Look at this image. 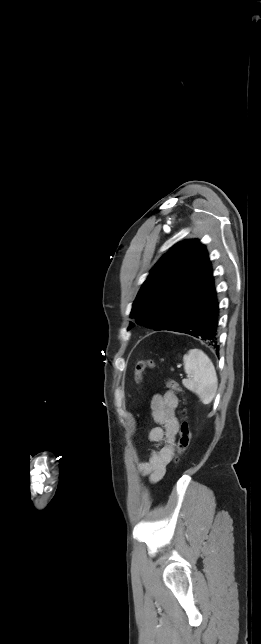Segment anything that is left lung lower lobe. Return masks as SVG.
I'll use <instances>...</instances> for the list:
<instances>
[{"label":"left lung lower lobe","instance_id":"0a47b994","mask_svg":"<svg viewBox=\"0 0 261 644\" xmlns=\"http://www.w3.org/2000/svg\"><path fill=\"white\" fill-rule=\"evenodd\" d=\"M219 311V301L214 286L180 322L167 330L194 336L212 345L218 351Z\"/></svg>","mask_w":261,"mask_h":644}]
</instances>
